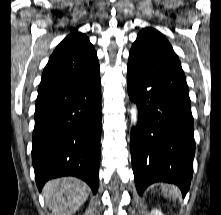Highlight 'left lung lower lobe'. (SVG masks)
I'll use <instances>...</instances> for the list:
<instances>
[{
  "instance_id": "obj_1",
  "label": "left lung lower lobe",
  "mask_w": 221,
  "mask_h": 215,
  "mask_svg": "<svg viewBox=\"0 0 221 215\" xmlns=\"http://www.w3.org/2000/svg\"><path fill=\"white\" fill-rule=\"evenodd\" d=\"M128 93L138 107L130 151L137 192L154 182L189 190L195 154L194 123L186 78L180 62L129 54Z\"/></svg>"
}]
</instances>
